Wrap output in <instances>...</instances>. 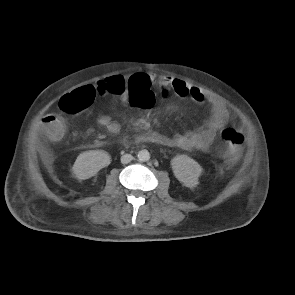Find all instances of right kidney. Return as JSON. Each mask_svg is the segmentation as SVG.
I'll return each instance as SVG.
<instances>
[{
    "instance_id": "1",
    "label": "right kidney",
    "mask_w": 295,
    "mask_h": 295,
    "mask_svg": "<svg viewBox=\"0 0 295 295\" xmlns=\"http://www.w3.org/2000/svg\"><path fill=\"white\" fill-rule=\"evenodd\" d=\"M111 163L110 155L104 150H90L78 155L72 170L79 180L95 176Z\"/></svg>"
}]
</instances>
